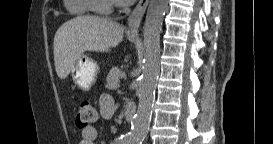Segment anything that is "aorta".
<instances>
[{
  "instance_id": "aorta-1",
  "label": "aorta",
  "mask_w": 273,
  "mask_h": 144,
  "mask_svg": "<svg viewBox=\"0 0 273 144\" xmlns=\"http://www.w3.org/2000/svg\"><path fill=\"white\" fill-rule=\"evenodd\" d=\"M167 8L168 0H150L143 33L144 58L138 109L131 130L121 138V144H142L148 133L160 66V32Z\"/></svg>"
}]
</instances>
